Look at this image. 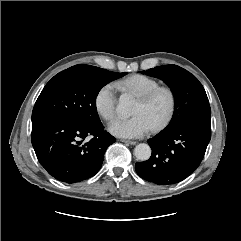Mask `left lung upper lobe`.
<instances>
[{
  "mask_svg": "<svg viewBox=\"0 0 241 241\" xmlns=\"http://www.w3.org/2000/svg\"><path fill=\"white\" fill-rule=\"evenodd\" d=\"M142 73L163 80L174 94L173 117L165 129L174 128L200 115L211 114L202 84L187 70L177 65H165L142 71Z\"/></svg>",
  "mask_w": 241,
  "mask_h": 241,
  "instance_id": "left-lung-upper-lobe-1",
  "label": "left lung upper lobe"
}]
</instances>
